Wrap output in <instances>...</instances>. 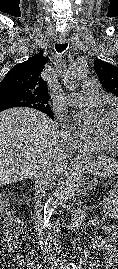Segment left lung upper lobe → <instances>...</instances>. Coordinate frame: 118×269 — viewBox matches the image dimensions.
<instances>
[{"label": "left lung upper lobe", "mask_w": 118, "mask_h": 269, "mask_svg": "<svg viewBox=\"0 0 118 269\" xmlns=\"http://www.w3.org/2000/svg\"><path fill=\"white\" fill-rule=\"evenodd\" d=\"M94 69L102 86L108 92L118 96V67L96 59Z\"/></svg>", "instance_id": "left-lung-upper-lobe-1"}]
</instances>
